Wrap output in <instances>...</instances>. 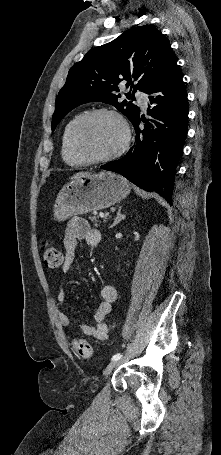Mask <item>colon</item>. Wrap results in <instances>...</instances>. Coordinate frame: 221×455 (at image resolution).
Returning <instances> with one entry per match:
<instances>
[{
  "mask_svg": "<svg viewBox=\"0 0 221 455\" xmlns=\"http://www.w3.org/2000/svg\"><path fill=\"white\" fill-rule=\"evenodd\" d=\"M43 261L46 267L58 268L63 264V256L61 252L48 244L43 247ZM72 346L75 352L84 359H89L93 355V350L89 342L84 339L75 338L72 340Z\"/></svg>",
  "mask_w": 221,
  "mask_h": 455,
  "instance_id": "colon-1",
  "label": "colon"
}]
</instances>
